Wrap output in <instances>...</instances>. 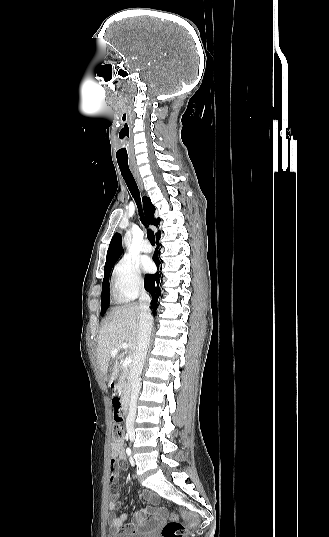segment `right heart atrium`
Listing matches in <instances>:
<instances>
[{"instance_id":"right-heart-atrium-1","label":"right heart atrium","mask_w":329,"mask_h":537,"mask_svg":"<svg viewBox=\"0 0 329 537\" xmlns=\"http://www.w3.org/2000/svg\"><path fill=\"white\" fill-rule=\"evenodd\" d=\"M112 287L121 301L136 298L144 288V280L137 263L129 258L120 259L112 270Z\"/></svg>"}]
</instances>
